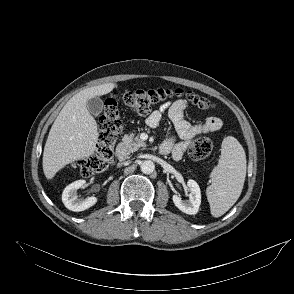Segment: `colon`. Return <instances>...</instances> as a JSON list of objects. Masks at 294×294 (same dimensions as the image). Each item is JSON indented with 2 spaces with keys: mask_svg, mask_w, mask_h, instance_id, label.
<instances>
[{
  "mask_svg": "<svg viewBox=\"0 0 294 294\" xmlns=\"http://www.w3.org/2000/svg\"><path fill=\"white\" fill-rule=\"evenodd\" d=\"M186 97L193 105L200 109L213 107V102L206 97L183 89H136L123 94L122 100L129 108L140 115L151 112L158 103L171 97ZM99 141L96 151L86 159L79 161V169L83 176L91 177L106 170L114 160V145L122 130V121L116 96L109 98L98 122ZM213 149L212 142L205 137L194 138L188 148L189 156L195 161L207 159Z\"/></svg>",
  "mask_w": 294,
  "mask_h": 294,
  "instance_id": "obj_1",
  "label": "colon"
}]
</instances>
